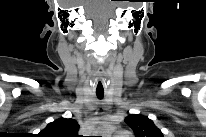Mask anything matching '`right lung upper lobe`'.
<instances>
[{"instance_id":"right-lung-upper-lobe-1","label":"right lung upper lobe","mask_w":206,"mask_h":137,"mask_svg":"<svg viewBox=\"0 0 206 137\" xmlns=\"http://www.w3.org/2000/svg\"><path fill=\"white\" fill-rule=\"evenodd\" d=\"M78 130L76 120L60 118L49 123L39 134L42 137H77Z\"/></svg>"}]
</instances>
